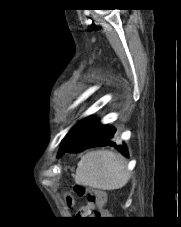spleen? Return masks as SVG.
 I'll list each match as a JSON object with an SVG mask.
<instances>
[{"instance_id":"1","label":"spleen","mask_w":181,"mask_h":227,"mask_svg":"<svg viewBox=\"0 0 181 227\" xmlns=\"http://www.w3.org/2000/svg\"><path fill=\"white\" fill-rule=\"evenodd\" d=\"M129 178L123 156L102 150L89 152L81 158L75 182L99 190H116L124 187Z\"/></svg>"}]
</instances>
